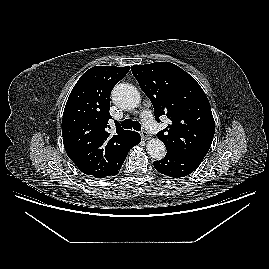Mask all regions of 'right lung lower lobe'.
<instances>
[{
    "label": "right lung lower lobe",
    "instance_id": "98d812e1",
    "mask_svg": "<svg viewBox=\"0 0 269 269\" xmlns=\"http://www.w3.org/2000/svg\"><path fill=\"white\" fill-rule=\"evenodd\" d=\"M140 141H141V136H140L139 133L133 131V132H131L129 134V137L127 138V141L125 142V144L122 147V150H123V154H122L123 162L126 159V156H127L128 152H129V150L132 147H134L135 145H137Z\"/></svg>",
    "mask_w": 269,
    "mask_h": 269
}]
</instances>
